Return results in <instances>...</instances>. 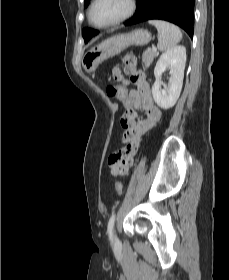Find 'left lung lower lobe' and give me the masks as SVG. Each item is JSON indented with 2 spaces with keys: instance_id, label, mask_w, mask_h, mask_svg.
<instances>
[{
  "instance_id": "obj_1",
  "label": "left lung lower lobe",
  "mask_w": 229,
  "mask_h": 280,
  "mask_svg": "<svg viewBox=\"0 0 229 280\" xmlns=\"http://www.w3.org/2000/svg\"><path fill=\"white\" fill-rule=\"evenodd\" d=\"M136 14L127 22L126 26L146 20L160 19L172 22L188 35L193 36L194 0H138Z\"/></svg>"
}]
</instances>
